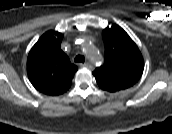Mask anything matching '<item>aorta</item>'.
Masks as SVG:
<instances>
[{
	"label": "aorta",
	"instance_id": "aorta-1",
	"mask_svg": "<svg viewBox=\"0 0 172 134\" xmlns=\"http://www.w3.org/2000/svg\"><path fill=\"white\" fill-rule=\"evenodd\" d=\"M84 50H85V53L87 54V56L93 60V61H96L97 58H98V54L96 52V48L94 47L93 44L91 43H86L85 46H84Z\"/></svg>",
	"mask_w": 172,
	"mask_h": 134
}]
</instances>
